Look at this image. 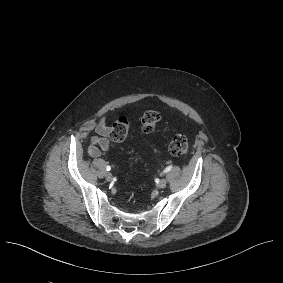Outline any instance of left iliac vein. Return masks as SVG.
<instances>
[{"label":"left iliac vein","instance_id":"1","mask_svg":"<svg viewBox=\"0 0 283 283\" xmlns=\"http://www.w3.org/2000/svg\"><path fill=\"white\" fill-rule=\"evenodd\" d=\"M157 185L159 188H164L167 185V180L165 178H162L159 180Z\"/></svg>","mask_w":283,"mask_h":283}]
</instances>
